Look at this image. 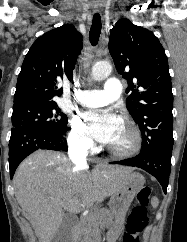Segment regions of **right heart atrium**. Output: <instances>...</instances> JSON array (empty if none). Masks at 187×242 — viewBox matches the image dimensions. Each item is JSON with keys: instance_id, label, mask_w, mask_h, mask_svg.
Listing matches in <instances>:
<instances>
[{"instance_id": "obj_1", "label": "right heart atrium", "mask_w": 187, "mask_h": 242, "mask_svg": "<svg viewBox=\"0 0 187 242\" xmlns=\"http://www.w3.org/2000/svg\"><path fill=\"white\" fill-rule=\"evenodd\" d=\"M68 142L74 151L80 153H88L94 148V143L87 135L84 124L79 117H74L71 121Z\"/></svg>"}]
</instances>
